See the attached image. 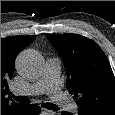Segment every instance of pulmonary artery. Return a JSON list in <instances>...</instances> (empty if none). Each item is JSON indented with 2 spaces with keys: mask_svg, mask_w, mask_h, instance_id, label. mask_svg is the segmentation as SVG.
I'll list each match as a JSON object with an SVG mask.
<instances>
[{
  "mask_svg": "<svg viewBox=\"0 0 115 115\" xmlns=\"http://www.w3.org/2000/svg\"><path fill=\"white\" fill-rule=\"evenodd\" d=\"M60 68L61 62L58 58H49L46 61L40 79L25 88L23 94L38 95L46 93L64 110L74 111L77 105L66 98L59 86Z\"/></svg>",
  "mask_w": 115,
  "mask_h": 115,
  "instance_id": "pulmonary-artery-1",
  "label": "pulmonary artery"
}]
</instances>
